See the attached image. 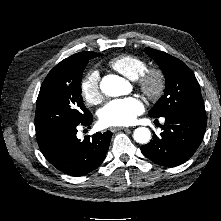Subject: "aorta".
<instances>
[{
    "label": "aorta",
    "instance_id": "obj_1",
    "mask_svg": "<svg viewBox=\"0 0 221 221\" xmlns=\"http://www.w3.org/2000/svg\"><path fill=\"white\" fill-rule=\"evenodd\" d=\"M100 89L107 96L117 97L127 93L128 82L117 75H107L102 78ZM133 138L140 144H146L150 141L151 132L146 127H139L135 129Z\"/></svg>",
    "mask_w": 221,
    "mask_h": 221
}]
</instances>
